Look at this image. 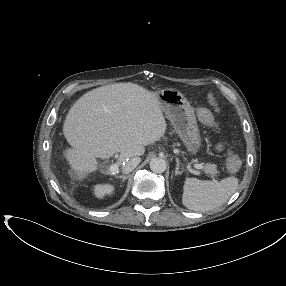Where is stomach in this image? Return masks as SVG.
Here are the masks:
<instances>
[{
	"label": "stomach",
	"instance_id": "0dacf381",
	"mask_svg": "<svg viewBox=\"0 0 286 286\" xmlns=\"http://www.w3.org/2000/svg\"><path fill=\"white\" fill-rule=\"evenodd\" d=\"M163 112L171 122L187 151L195 155L201 147V136L194 110L178 90L166 88L156 93Z\"/></svg>",
	"mask_w": 286,
	"mask_h": 286
}]
</instances>
